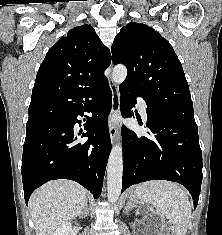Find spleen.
Returning <instances> with one entry per match:
<instances>
[{"label":"spleen","instance_id":"spleen-1","mask_svg":"<svg viewBox=\"0 0 222 235\" xmlns=\"http://www.w3.org/2000/svg\"><path fill=\"white\" fill-rule=\"evenodd\" d=\"M135 192L143 202L155 207L174 225L176 235H186L192 205L181 186L155 180L139 184Z\"/></svg>","mask_w":222,"mask_h":235}]
</instances>
